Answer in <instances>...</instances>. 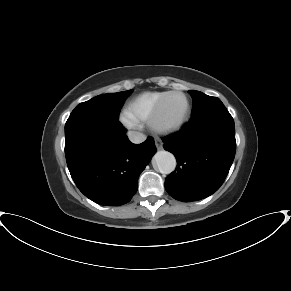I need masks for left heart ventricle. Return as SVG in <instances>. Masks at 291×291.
Returning a JSON list of instances; mask_svg holds the SVG:
<instances>
[{"label": "left heart ventricle", "mask_w": 291, "mask_h": 291, "mask_svg": "<svg viewBox=\"0 0 291 291\" xmlns=\"http://www.w3.org/2000/svg\"><path fill=\"white\" fill-rule=\"evenodd\" d=\"M186 115V99L182 95L170 97L162 110L160 123L164 126L179 124Z\"/></svg>", "instance_id": "obj_1"}]
</instances>
